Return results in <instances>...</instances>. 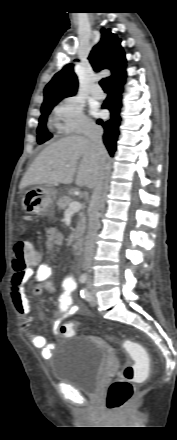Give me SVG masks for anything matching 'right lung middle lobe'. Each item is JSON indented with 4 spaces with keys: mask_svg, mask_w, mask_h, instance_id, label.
<instances>
[{
    "mask_svg": "<svg viewBox=\"0 0 177 440\" xmlns=\"http://www.w3.org/2000/svg\"><path fill=\"white\" fill-rule=\"evenodd\" d=\"M58 102L43 103L41 107V116L39 118V126L37 128V142L44 143L52 137L46 128L47 116Z\"/></svg>",
    "mask_w": 177,
    "mask_h": 440,
    "instance_id": "right-lung-middle-lobe-1",
    "label": "right lung middle lobe"
}]
</instances>
